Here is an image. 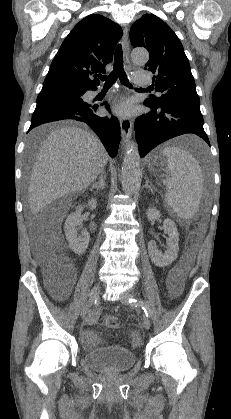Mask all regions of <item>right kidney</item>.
Here are the masks:
<instances>
[{"mask_svg":"<svg viewBox=\"0 0 231 419\" xmlns=\"http://www.w3.org/2000/svg\"><path fill=\"white\" fill-rule=\"evenodd\" d=\"M86 206L91 210H94L97 206V200L92 198L87 205H79L76 208V211L67 217L64 225L66 239L68 240L72 251L78 255H81L86 251L90 240V234L87 230H82L81 235H77V230L82 228L83 220L81 212Z\"/></svg>","mask_w":231,"mask_h":419,"instance_id":"ca27d5eb","label":"right kidney"}]
</instances>
